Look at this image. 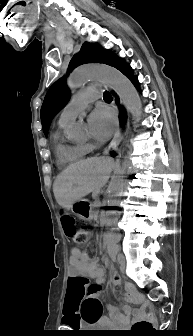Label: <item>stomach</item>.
Wrapping results in <instances>:
<instances>
[{
    "mask_svg": "<svg viewBox=\"0 0 193 336\" xmlns=\"http://www.w3.org/2000/svg\"><path fill=\"white\" fill-rule=\"evenodd\" d=\"M71 210L79 218L85 221H89L92 218V206L86 199H80L74 202L71 206Z\"/></svg>",
    "mask_w": 193,
    "mask_h": 336,
    "instance_id": "obj_1",
    "label": "stomach"
}]
</instances>
